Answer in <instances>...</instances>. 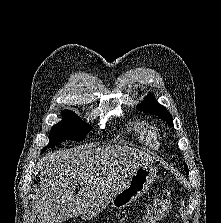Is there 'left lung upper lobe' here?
<instances>
[{
  "instance_id": "obj_1",
  "label": "left lung upper lobe",
  "mask_w": 221,
  "mask_h": 223,
  "mask_svg": "<svg viewBox=\"0 0 221 223\" xmlns=\"http://www.w3.org/2000/svg\"><path fill=\"white\" fill-rule=\"evenodd\" d=\"M137 109L148 112L150 114H155L161 118V120L166 121L170 126H173V119L168 110L157 103L153 95H148L145 97L144 101L137 106ZM184 170L188 174V167L184 164Z\"/></svg>"
}]
</instances>
